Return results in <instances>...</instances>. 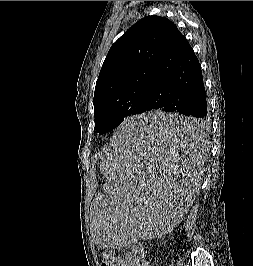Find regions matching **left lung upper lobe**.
<instances>
[{"mask_svg":"<svg viewBox=\"0 0 253 266\" xmlns=\"http://www.w3.org/2000/svg\"><path fill=\"white\" fill-rule=\"evenodd\" d=\"M177 27L169 19L146 16L110 48L94 93L95 129L103 134L126 117L144 112L158 60Z\"/></svg>","mask_w":253,"mask_h":266,"instance_id":"left-lung-upper-lobe-1","label":"left lung upper lobe"}]
</instances>
